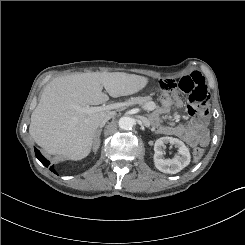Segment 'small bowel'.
Returning <instances> with one entry per match:
<instances>
[{
    "mask_svg": "<svg viewBox=\"0 0 245 245\" xmlns=\"http://www.w3.org/2000/svg\"><path fill=\"white\" fill-rule=\"evenodd\" d=\"M157 86L163 91H172L175 102L179 107L183 106V101L179 94H188L191 104L187 106V113L192 117L189 125H160L158 126V131L165 135L176 136L191 147L207 145L210 141L207 129L209 122L208 92L202 75L191 73L182 77L178 82L173 77H161L157 81ZM167 109V106H163L153 115L152 120L156 125L159 124L160 114L166 112Z\"/></svg>",
    "mask_w": 245,
    "mask_h": 245,
    "instance_id": "c3829d8e",
    "label": "small bowel"
}]
</instances>
